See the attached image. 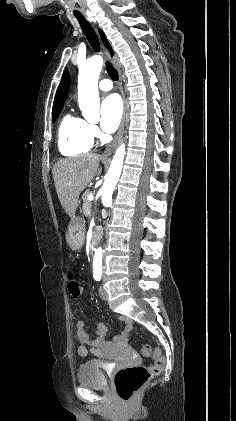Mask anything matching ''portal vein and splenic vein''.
Wrapping results in <instances>:
<instances>
[{"instance_id": "1", "label": "portal vein and splenic vein", "mask_w": 236, "mask_h": 421, "mask_svg": "<svg viewBox=\"0 0 236 421\" xmlns=\"http://www.w3.org/2000/svg\"><path fill=\"white\" fill-rule=\"evenodd\" d=\"M88 200H94V196H93V194H89V196H88Z\"/></svg>"}]
</instances>
